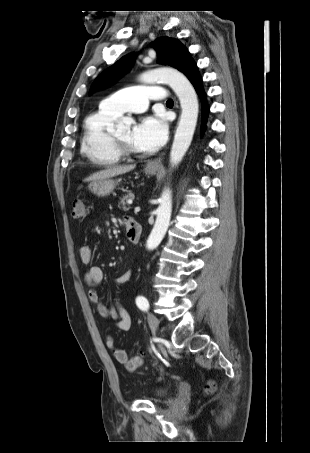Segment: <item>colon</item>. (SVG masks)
<instances>
[{"mask_svg": "<svg viewBox=\"0 0 310 453\" xmlns=\"http://www.w3.org/2000/svg\"><path fill=\"white\" fill-rule=\"evenodd\" d=\"M86 214V206L82 200H75L72 204V215L74 218H83ZM143 364V357L140 354L134 355L131 357L127 363H126V368L129 371H134L141 367ZM216 389V384L213 380H209L205 384V392L206 393H212Z\"/></svg>", "mask_w": 310, "mask_h": 453, "instance_id": "5ec220e1", "label": "colon"}]
</instances>
